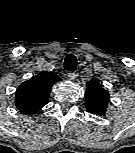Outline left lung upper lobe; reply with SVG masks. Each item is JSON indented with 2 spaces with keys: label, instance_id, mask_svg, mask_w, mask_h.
<instances>
[{
  "label": "left lung upper lobe",
  "instance_id": "1",
  "mask_svg": "<svg viewBox=\"0 0 135 153\" xmlns=\"http://www.w3.org/2000/svg\"><path fill=\"white\" fill-rule=\"evenodd\" d=\"M109 102V93L101 87L98 81L87 82L85 104L88 111L96 115H104Z\"/></svg>",
  "mask_w": 135,
  "mask_h": 153
}]
</instances>
